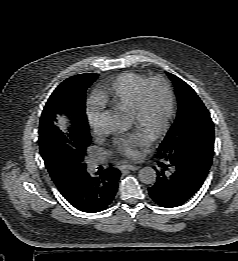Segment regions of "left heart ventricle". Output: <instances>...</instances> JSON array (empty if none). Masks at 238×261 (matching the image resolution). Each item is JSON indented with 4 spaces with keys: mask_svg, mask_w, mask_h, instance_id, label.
I'll return each mask as SVG.
<instances>
[{
    "mask_svg": "<svg viewBox=\"0 0 238 261\" xmlns=\"http://www.w3.org/2000/svg\"><path fill=\"white\" fill-rule=\"evenodd\" d=\"M167 111V96L163 86L159 83L153 84L146 96V107L144 117L139 124L131 116V123L140 130L153 134L162 123Z\"/></svg>",
    "mask_w": 238,
    "mask_h": 261,
    "instance_id": "obj_1",
    "label": "left heart ventricle"
}]
</instances>
